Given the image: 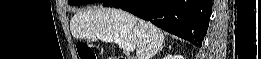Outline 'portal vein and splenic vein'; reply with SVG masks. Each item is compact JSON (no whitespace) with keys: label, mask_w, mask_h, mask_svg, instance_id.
Masks as SVG:
<instances>
[{"label":"portal vein and splenic vein","mask_w":261,"mask_h":59,"mask_svg":"<svg viewBox=\"0 0 261 59\" xmlns=\"http://www.w3.org/2000/svg\"><path fill=\"white\" fill-rule=\"evenodd\" d=\"M99 39L103 40V41H109V42H116L121 48H123L124 50L128 51V52H133L136 48L135 46L125 43L117 38H113L112 36H98Z\"/></svg>","instance_id":"1"}]
</instances>
